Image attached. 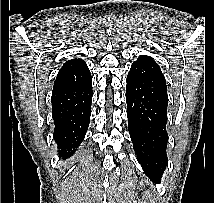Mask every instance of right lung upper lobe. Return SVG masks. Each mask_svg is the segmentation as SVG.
Instances as JSON below:
<instances>
[{"label": "right lung upper lobe", "instance_id": "right-lung-upper-lobe-1", "mask_svg": "<svg viewBox=\"0 0 214 203\" xmlns=\"http://www.w3.org/2000/svg\"><path fill=\"white\" fill-rule=\"evenodd\" d=\"M82 63H84V61L82 59L79 58H75L72 60H68L66 63L63 64L62 68L60 69L59 74L61 73H65L71 69L76 68L77 66L81 65Z\"/></svg>", "mask_w": 214, "mask_h": 203}]
</instances>
